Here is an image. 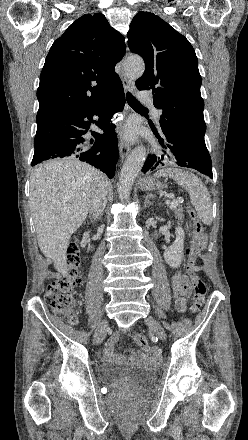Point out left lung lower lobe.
<instances>
[{
    "label": "left lung lower lobe",
    "instance_id": "left-lung-lower-lobe-1",
    "mask_svg": "<svg viewBox=\"0 0 248 440\" xmlns=\"http://www.w3.org/2000/svg\"><path fill=\"white\" fill-rule=\"evenodd\" d=\"M162 136H157L164 154L160 157L152 155L142 168L145 173L164 166L167 163H176L182 167L194 168L199 172L213 178L212 163L204 139L195 138L185 132L161 126Z\"/></svg>",
    "mask_w": 248,
    "mask_h": 440
}]
</instances>
